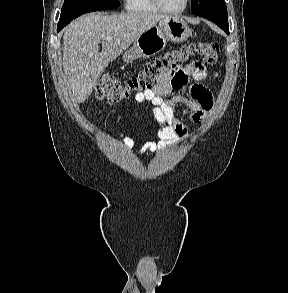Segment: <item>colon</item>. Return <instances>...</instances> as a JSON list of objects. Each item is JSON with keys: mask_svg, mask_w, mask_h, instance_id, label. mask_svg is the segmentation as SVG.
<instances>
[{"mask_svg": "<svg viewBox=\"0 0 288 293\" xmlns=\"http://www.w3.org/2000/svg\"><path fill=\"white\" fill-rule=\"evenodd\" d=\"M192 57H199L207 65H215L219 59V45L215 42H191L167 51L148 62L126 82L110 74L103 75L96 83L95 96L115 104L126 100L134 92L151 89L164 74L179 70Z\"/></svg>", "mask_w": 288, "mask_h": 293, "instance_id": "obj_1", "label": "colon"}]
</instances>
